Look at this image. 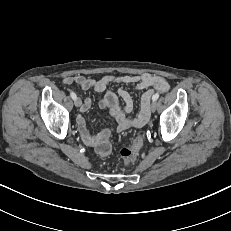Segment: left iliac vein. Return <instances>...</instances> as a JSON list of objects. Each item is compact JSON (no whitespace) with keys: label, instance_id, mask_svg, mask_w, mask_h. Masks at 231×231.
<instances>
[{"label":"left iliac vein","instance_id":"left-iliac-vein-1","mask_svg":"<svg viewBox=\"0 0 231 231\" xmlns=\"http://www.w3.org/2000/svg\"><path fill=\"white\" fill-rule=\"evenodd\" d=\"M156 108H157V103H156V101H152V103H151V105H150V110H151V112H155Z\"/></svg>","mask_w":231,"mask_h":231}]
</instances>
